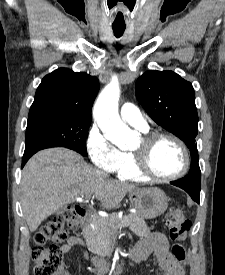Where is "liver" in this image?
<instances>
[{
  "label": "liver",
  "mask_w": 225,
  "mask_h": 275,
  "mask_svg": "<svg viewBox=\"0 0 225 275\" xmlns=\"http://www.w3.org/2000/svg\"><path fill=\"white\" fill-rule=\"evenodd\" d=\"M136 186L112 180L66 148H49L27 162L20 184L21 206L31 232L58 209L94 194L105 209L115 208Z\"/></svg>",
  "instance_id": "6515ba94"
}]
</instances>
